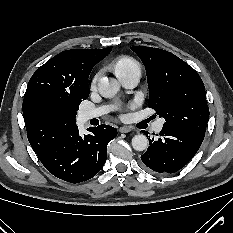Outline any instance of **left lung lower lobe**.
<instances>
[{
    "mask_svg": "<svg viewBox=\"0 0 233 233\" xmlns=\"http://www.w3.org/2000/svg\"><path fill=\"white\" fill-rule=\"evenodd\" d=\"M158 138H149V147L141 156L146 167L156 173H174L195 155L204 136L191 130L163 125Z\"/></svg>",
    "mask_w": 233,
    "mask_h": 233,
    "instance_id": "obj_1",
    "label": "left lung lower lobe"
}]
</instances>
